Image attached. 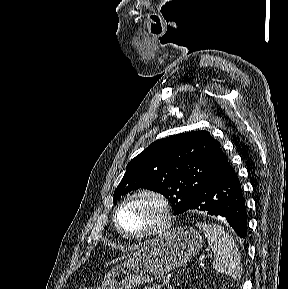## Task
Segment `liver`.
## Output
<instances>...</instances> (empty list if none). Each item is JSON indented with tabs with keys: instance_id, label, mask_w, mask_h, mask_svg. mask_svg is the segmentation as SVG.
Wrapping results in <instances>:
<instances>
[{
	"instance_id": "6515ba94",
	"label": "liver",
	"mask_w": 288,
	"mask_h": 289,
	"mask_svg": "<svg viewBox=\"0 0 288 289\" xmlns=\"http://www.w3.org/2000/svg\"><path fill=\"white\" fill-rule=\"evenodd\" d=\"M120 259H123V257H122V258H119V259H115V260H113L111 263L117 262V261L120 260ZM111 263H106V266H108V265L111 264Z\"/></svg>"
}]
</instances>
